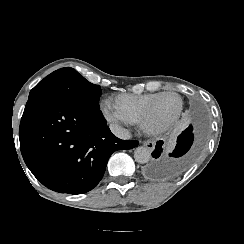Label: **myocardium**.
Returning a JSON list of instances; mask_svg holds the SVG:
<instances>
[{
  "mask_svg": "<svg viewBox=\"0 0 244 244\" xmlns=\"http://www.w3.org/2000/svg\"><path fill=\"white\" fill-rule=\"evenodd\" d=\"M163 96H173L177 99V102H178L176 109L173 111V113L170 115L169 118H164V117L161 118L163 121V124H164L163 126L167 127L173 122V120L175 119L177 114L181 111L183 101H182V98L177 93L172 92V91L163 92V93L158 94L157 96L154 95L152 97L153 99L150 101L148 108H147L149 115L151 117L155 116V113L153 111V107L155 106V104L158 103V99L163 97Z\"/></svg>",
  "mask_w": 244,
  "mask_h": 244,
  "instance_id": "obj_1",
  "label": "myocardium"
}]
</instances>
